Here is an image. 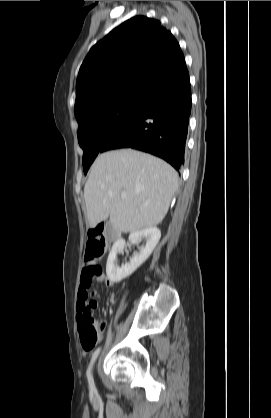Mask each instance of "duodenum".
Wrapping results in <instances>:
<instances>
[{"label": "duodenum", "instance_id": "duodenum-1", "mask_svg": "<svg viewBox=\"0 0 271 418\" xmlns=\"http://www.w3.org/2000/svg\"><path fill=\"white\" fill-rule=\"evenodd\" d=\"M117 238H118V235L117 234H113L110 237L111 240H116Z\"/></svg>", "mask_w": 271, "mask_h": 418}]
</instances>
